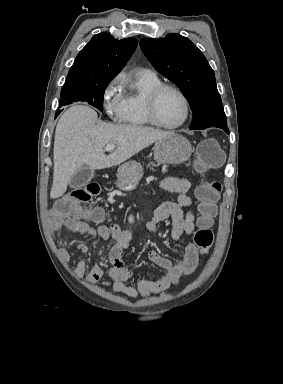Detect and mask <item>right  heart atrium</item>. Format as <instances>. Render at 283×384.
<instances>
[{
	"label": "right heart atrium",
	"mask_w": 283,
	"mask_h": 384,
	"mask_svg": "<svg viewBox=\"0 0 283 384\" xmlns=\"http://www.w3.org/2000/svg\"><path fill=\"white\" fill-rule=\"evenodd\" d=\"M123 87V76L119 73L104 85L101 92L104 112L115 123H120L123 120Z\"/></svg>",
	"instance_id": "obj_1"
}]
</instances>
